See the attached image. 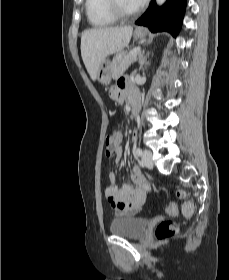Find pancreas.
Masks as SVG:
<instances>
[{"instance_id":"pancreas-1","label":"pancreas","mask_w":229,"mask_h":280,"mask_svg":"<svg viewBox=\"0 0 229 280\" xmlns=\"http://www.w3.org/2000/svg\"><path fill=\"white\" fill-rule=\"evenodd\" d=\"M129 53L130 52L123 51L114 56L111 63L112 77L115 78L121 75L131 65V63L137 60V54L128 58Z\"/></svg>"}]
</instances>
